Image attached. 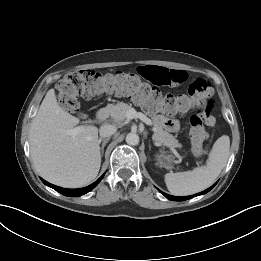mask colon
I'll return each instance as SVG.
<instances>
[{
	"label": "colon",
	"instance_id": "colon-1",
	"mask_svg": "<svg viewBox=\"0 0 261 261\" xmlns=\"http://www.w3.org/2000/svg\"><path fill=\"white\" fill-rule=\"evenodd\" d=\"M57 91L59 104L69 112L78 111L79 98L91 99L103 95L130 97L152 113L173 115L196 108L197 112L190 119L189 135L197 155H202L205 151V126L216 125V118L212 113L213 88L210 82L203 78L191 81L187 95H176L162 93L131 72L77 70L68 73L58 82Z\"/></svg>",
	"mask_w": 261,
	"mask_h": 261
}]
</instances>
